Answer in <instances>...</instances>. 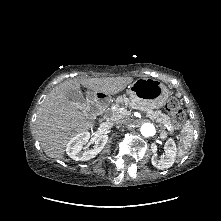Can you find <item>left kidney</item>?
Returning a JSON list of instances; mask_svg holds the SVG:
<instances>
[{
  "mask_svg": "<svg viewBox=\"0 0 221 221\" xmlns=\"http://www.w3.org/2000/svg\"><path fill=\"white\" fill-rule=\"evenodd\" d=\"M165 158L164 159H158L157 154L154 153L151 162L152 165L160 170L168 169L170 168L176 159L177 155V148L176 144L173 139H168L165 143Z\"/></svg>",
  "mask_w": 221,
  "mask_h": 221,
  "instance_id": "obj_1",
  "label": "left kidney"
}]
</instances>
